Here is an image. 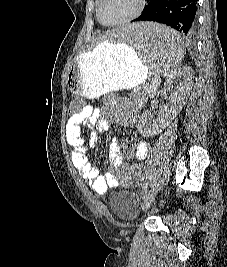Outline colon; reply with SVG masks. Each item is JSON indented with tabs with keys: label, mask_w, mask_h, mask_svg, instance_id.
<instances>
[{
	"label": "colon",
	"mask_w": 227,
	"mask_h": 267,
	"mask_svg": "<svg viewBox=\"0 0 227 267\" xmlns=\"http://www.w3.org/2000/svg\"><path fill=\"white\" fill-rule=\"evenodd\" d=\"M79 100H73L71 105L69 106L68 115H80L82 112V105H80Z\"/></svg>",
	"instance_id": "1"
}]
</instances>
